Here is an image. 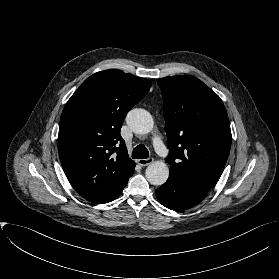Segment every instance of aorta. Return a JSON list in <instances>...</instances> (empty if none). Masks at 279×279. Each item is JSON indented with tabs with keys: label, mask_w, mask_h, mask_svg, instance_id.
<instances>
[{
	"label": "aorta",
	"mask_w": 279,
	"mask_h": 279,
	"mask_svg": "<svg viewBox=\"0 0 279 279\" xmlns=\"http://www.w3.org/2000/svg\"><path fill=\"white\" fill-rule=\"evenodd\" d=\"M126 122L137 134H148L154 125L151 114L144 109H132L127 114ZM145 176L150 184L159 186L167 181L169 168L163 161H155L147 167Z\"/></svg>",
	"instance_id": "obj_1"
}]
</instances>
